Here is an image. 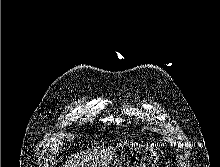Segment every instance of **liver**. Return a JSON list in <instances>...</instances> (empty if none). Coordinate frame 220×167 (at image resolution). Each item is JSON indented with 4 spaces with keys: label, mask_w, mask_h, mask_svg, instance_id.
Segmentation results:
<instances>
[{
    "label": "liver",
    "mask_w": 220,
    "mask_h": 167,
    "mask_svg": "<svg viewBox=\"0 0 220 167\" xmlns=\"http://www.w3.org/2000/svg\"><path fill=\"white\" fill-rule=\"evenodd\" d=\"M116 148H95L73 155L64 167H107Z\"/></svg>",
    "instance_id": "6515ba94"
}]
</instances>
